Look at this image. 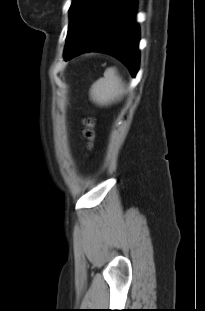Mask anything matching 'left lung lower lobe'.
I'll return each mask as SVG.
<instances>
[{"label":"left lung lower lobe","mask_w":205,"mask_h":311,"mask_svg":"<svg viewBox=\"0 0 205 311\" xmlns=\"http://www.w3.org/2000/svg\"><path fill=\"white\" fill-rule=\"evenodd\" d=\"M135 13V0H120L95 30L77 47L64 53L65 60L84 52L107 53L122 61L134 77L139 67V29Z\"/></svg>","instance_id":"0a47b994"}]
</instances>
